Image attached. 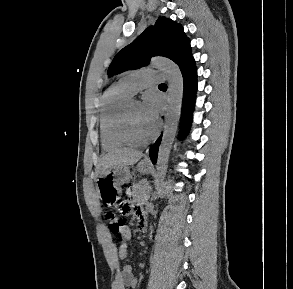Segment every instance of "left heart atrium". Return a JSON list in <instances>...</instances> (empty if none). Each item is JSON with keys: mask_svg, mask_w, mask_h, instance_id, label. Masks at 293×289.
Listing matches in <instances>:
<instances>
[{"mask_svg": "<svg viewBox=\"0 0 293 289\" xmlns=\"http://www.w3.org/2000/svg\"><path fill=\"white\" fill-rule=\"evenodd\" d=\"M143 112L145 116L152 122L156 123L160 116L162 105L158 96L155 94L146 95L143 104Z\"/></svg>", "mask_w": 293, "mask_h": 289, "instance_id": "39dd6f15", "label": "left heart atrium"}]
</instances>
